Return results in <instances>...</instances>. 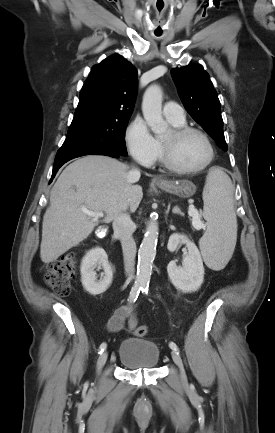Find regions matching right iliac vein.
<instances>
[{"label": "right iliac vein", "instance_id": "right-iliac-vein-1", "mask_svg": "<svg viewBox=\"0 0 275 433\" xmlns=\"http://www.w3.org/2000/svg\"><path fill=\"white\" fill-rule=\"evenodd\" d=\"M108 358V352L104 351L103 353H101V355L98 358L97 361V372H100L101 369L103 368V366L105 365L106 361Z\"/></svg>", "mask_w": 275, "mask_h": 433}]
</instances>
